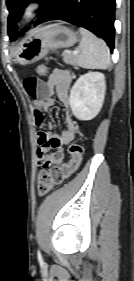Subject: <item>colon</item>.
Returning <instances> with one entry per match:
<instances>
[{"label": "colon", "instance_id": "obj_1", "mask_svg": "<svg viewBox=\"0 0 134 281\" xmlns=\"http://www.w3.org/2000/svg\"><path fill=\"white\" fill-rule=\"evenodd\" d=\"M39 76H45L48 67L40 64L36 68ZM70 159L67 163L53 166L49 170H42L37 177V189L40 195L47 194L51 189L65 182L81 165L83 158V146L79 141H74L68 148Z\"/></svg>", "mask_w": 134, "mask_h": 281}]
</instances>
